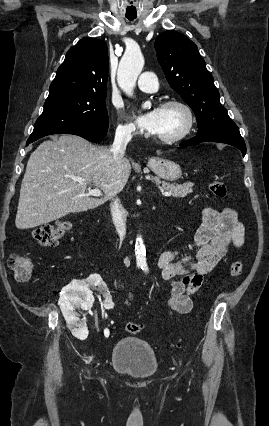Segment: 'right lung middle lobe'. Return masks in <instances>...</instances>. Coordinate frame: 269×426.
Returning <instances> with one entry per match:
<instances>
[{
  "mask_svg": "<svg viewBox=\"0 0 269 426\" xmlns=\"http://www.w3.org/2000/svg\"><path fill=\"white\" fill-rule=\"evenodd\" d=\"M106 93L58 91L49 93L43 113L28 140L58 134L83 126L108 129Z\"/></svg>",
  "mask_w": 269,
  "mask_h": 426,
  "instance_id": "obj_1",
  "label": "right lung middle lobe"
}]
</instances>
